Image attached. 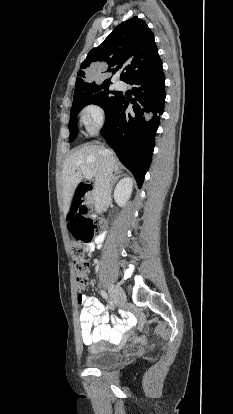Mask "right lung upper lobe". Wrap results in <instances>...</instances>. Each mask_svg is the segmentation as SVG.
Returning a JSON list of instances; mask_svg holds the SVG:
<instances>
[{"label":"right lung upper lobe","instance_id":"right-lung-upper-lobe-1","mask_svg":"<svg viewBox=\"0 0 233 414\" xmlns=\"http://www.w3.org/2000/svg\"><path fill=\"white\" fill-rule=\"evenodd\" d=\"M103 64L107 72L115 73L119 69L121 80L127 82L138 76L148 75L162 67L154 34L144 20L134 16L118 25L101 45L92 49L80 66L76 79L74 96L100 84L111 83L92 81L93 66Z\"/></svg>","mask_w":233,"mask_h":414}]
</instances>
